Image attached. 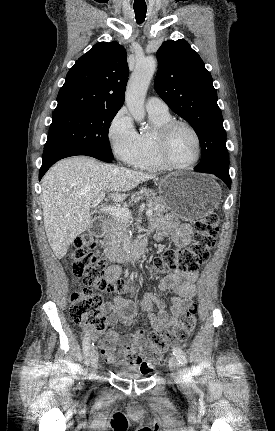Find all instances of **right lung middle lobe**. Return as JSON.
I'll use <instances>...</instances> for the list:
<instances>
[{
    "label": "right lung middle lobe",
    "mask_w": 275,
    "mask_h": 431,
    "mask_svg": "<svg viewBox=\"0 0 275 431\" xmlns=\"http://www.w3.org/2000/svg\"><path fill=\"white\" fill-rule=\"evenodd\" d=\"M118 110L81 109L53 113L45 149L83 146L113 158L108 129Z\"/></svg>",
    "instance_id": "dd1d6c3e"
}]
</instances>
